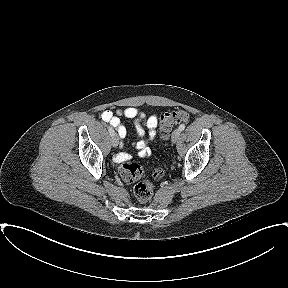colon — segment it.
Segmentation results:
<instances>
[{"instance_id":"obj_1","label":"colon","mask_w":288,"mask_h":288,"mask_svg":"<svg viewBox=\"0 0 288 288\" xmlns=\"http://www.w3.org/2000/svg\"><path fill=\"white\" fill-rule=\"evenodd\" d=\"M189 114L184 110H175L166 112L160 116L159 129L161 137L165 138L174 126L179 123L187 122ZM121 178L128 182H137L134 186V196L141 202H147L153 195V184L148 180H141L144 174L142 166L135 162L124 161L119 167ZM164 175L162 168H156L152 171L154 179H160Z\"/></svg>"}]
</instances>
